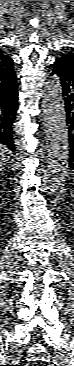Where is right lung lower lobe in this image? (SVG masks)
Segmentation results:
<instances>
[{
  "instance_id": "obj_1",
  "label": "right lung lower lobe",
  "mask_w": 74,
  "mask_h": 366,
  "mask_svg": "<svg viewBox=\"0 0 74 366\" xmlns=\"http://www.w3.org/2000/svg\"><path fill=\"white\" fill-rule=\"evenodd\" d=\"M18 109V85L16 77L7 84H0V145L12 152L16 147L13 138V123Z\"/></svg>"
}]
</instances>
